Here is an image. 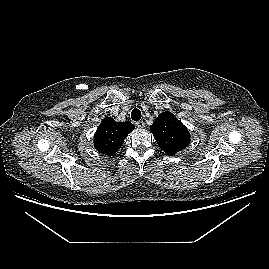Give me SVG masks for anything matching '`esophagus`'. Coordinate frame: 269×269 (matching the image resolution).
<instances>
[{"label": "esophagus", "mask_w": 269, "mask_h": 269, "mask_svg": "<svg viewBox=\"0 0 269 269\" xmlns=\"http://www.w3.org/2000/svg\"><path fill=\"white\" fill-rule=\"evenodd\" d=\"M135 125L140 129L145 127V123L143 121H138L135 123Z\"/></svg>", "instance_id": "esophagus-1"}]
</instances>
